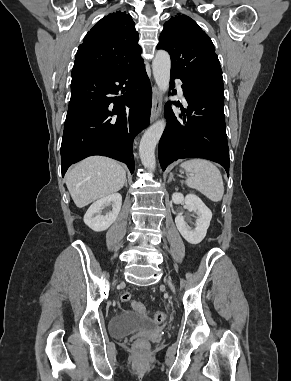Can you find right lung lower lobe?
I'll return each mask as SVG.
<instances>
[{
  "label": "right lung lower lobe",
  "mask_w": 291,
  "mask_h": 381,
  "mask_svg": "<svg viewBox=\"0 0 291 381\" xmlns=\"http://www.w3.org/2000/svg\"><path fill=\"white\" fill-rule=\"evenodd\" d=\"M118 93L123 96H114ZM151 98L143 59L113 73L72 71L62 176L70 165L91 155L124 162L133 173V140L149 125Z\"/></svg>",
  "instance_id": "1"
}]
</instances>
